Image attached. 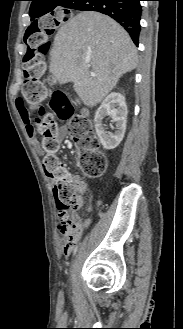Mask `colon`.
Wrapping results in <instances>:
<instances>
[{
  "label": "colon",
  "mask_w": 183,
  "mask_h": 329,
  "mask_svg": "<svg viewBox=\"0 0 183 329\" xmlns=\"http://www.w3.org/2000/svg\"><path fill=\"white\" fill-rule=\"evenodd\" d=\"M72 14L61 11L57 14H41L40 19H34V25H29L24 31L26 51L23 56L22 69L24 82L22 92L24 96H16L19 114H35L32 120L34 134L43 138L42 147L45 153L43 170L47 177L54 180L52 192L60 215L78 208V185L68 174L64 164L57 156V127L53 115L41 104L43 96L42 85L39 81H49V74H40L41 59L49 49L53 48L51 38H56V32L67 21H72ZM51 108L57 116L70 123L71 135L80 151L79 165L83 174L89 178L100 177L107 167L105 155L98 150V140L95 137L91 123L85 117L74 114L68 104L67 96L62 91H56L51 100ZM62 231L67 234V243L74 244L80 229L70 221L62 222Z\"/></svg>",
  "instance_id": "1"
}]
</instances>
